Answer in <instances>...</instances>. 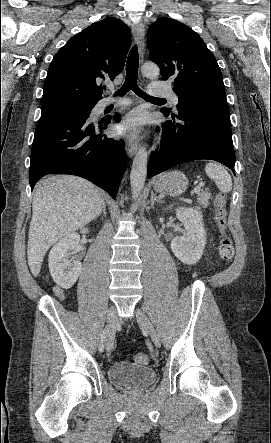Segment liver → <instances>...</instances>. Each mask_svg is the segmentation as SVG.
<instances>
[{
	"label": "liver",
	"instance_id": "1",
	"mask_svg": "<svg viewBox=\"0 0 271 443\" xmlns=\"http://www.w3.org/2000/svg\"><path fill=\"white\" fill-rule=\"evenodd\" d=\"M105 206L94 184L77 176H46L35 186L27 259L37 277L49 247L67 233L95 220Z\"/></svg>",
	"mask_w": 271,
	"mask_h": 443
}]
</instances>
